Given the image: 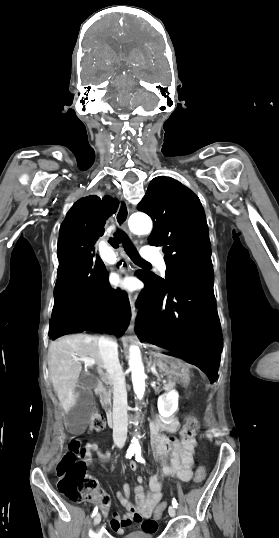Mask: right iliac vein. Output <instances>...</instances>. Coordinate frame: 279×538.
<instances>
[{"label": "right iliac vein", "mask_w": 279, "mask_h": 538, "mask_svg": "<svg viewBox=\"0 0 279 538\" xmlns=\"http://www.w3.org/2000/svg\"><path fill=\"white\" fill-rule=\"evenodd\" d=\"M101 521V515L100 513L96 514L95 518H94V525H98Z\"/></svg>", "instance_id": "63e3f726"}]
</instances>
